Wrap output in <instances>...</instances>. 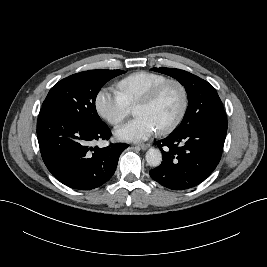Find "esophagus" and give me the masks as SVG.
<instances>
[{
	"mask_svg": "<svg viewBox=\"0 0 267 267\" xmlns=\"http://www.w3.org/2000/svg\"><path fill=\"white\" fill-rule=\"evenodd\" d=\"M136 147L142 150H146L150 147V144H138Z\"/></svg>",
	"mask_w": 267,
	"mask_h": 267,
	"instance_id": "1",
	"label": "esophagus"
}]
</instances>
